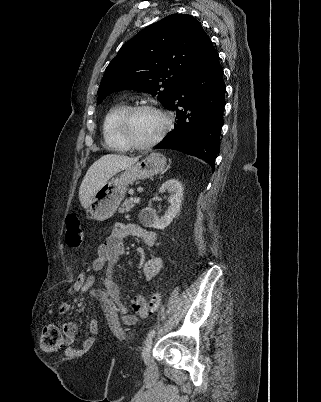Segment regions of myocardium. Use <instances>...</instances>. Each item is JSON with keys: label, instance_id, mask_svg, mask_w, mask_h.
Listing matches in <instances>:
<instances>
[{"label": "myocardium", "instance_id": "1", "mask_svg": "<svg viewBox=\"0 0 321 402\" xmlns=\"http://www.w3.org/2000/svg\"><path fill=\"white\" fill-rule=\"evenodd\" d=\"M144 110H150V111H154V112H157L158 114H160L163 118L164 125H163L162 130L160 131V133L158 134V136L156 138H154L153 140H151L148 143L141 144V143L136 142L130 135L129 122H130L131 117L135 113L144 111ZM171 125H172V119H171L170 115L162 108L152 105V104H137V105L127 107L124 110V112L121 114V116L117 122V128H118V132H119L121 139L129 148L135 149V150H148V149H151L152 147H154L155 145H157L160 141H162V139L165 137L167 132L170 130Z\"/></svg>", "mask_w": 321, "mask_h": 402}]
</instances>
